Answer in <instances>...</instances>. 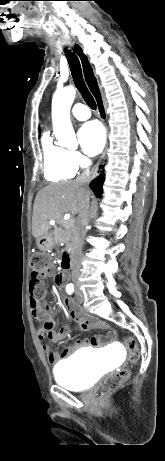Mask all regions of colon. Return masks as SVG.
Segmentation results:
<instances>
[{"mask_svg": "<svg viewBox=\"0 0 165 461\" xmlns=\"http://www.w3.org/2000/svg\"><path fill=\"white\" fill-rule=\"evenodd\" d=\"M53 273V268L50 259L44 254H37L32 258L31 262V281L30 291L31 295L39 302L45 297V288L42 279L50 276ZM125 346L128 350V358L132 363L139 359V348L137 342L132 337L125 339ZM130 373L126 369L119 370L108 376L101 387V394L107 395L122 386V384L129 378Z\"/></svg>", "mask_w": 165, "mask_h": 461, "instance_id": "obj_1", "label": "colon"}]
</instances>
